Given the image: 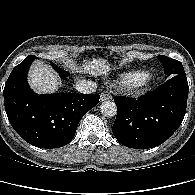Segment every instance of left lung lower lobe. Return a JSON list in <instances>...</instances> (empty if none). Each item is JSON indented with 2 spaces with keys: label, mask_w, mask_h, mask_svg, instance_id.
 <instances>
[{
  "label": "left lung lower lobe",
  "mask_w": 195,
  "mask_h": 195,
  "mask_svg": "<svg viewBox=\"0 0 195 195\" xmlns=\"http://www.w3.org/2000/svg\"><path fill=\"white\" fill-rule=\"evenodd\" d=\"M188 90L186 74H176L138 99L115 97L118 110L112 131L118 142L135 149L165 142L183 121Z\"/></svg>",
  "instance_id": "0a47b994"
}]
</instances>
